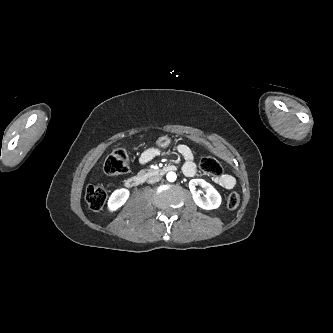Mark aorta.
<instances>
[{
    "instance_id": "aorta-1",
    "label": "aorta",
    "mask_w": 333,
    "mask_h": 333,
    "mask_svg": "<svg viewBox=\"0 0 333 333\" xmlns=\"http://www.w3.org/2000/svg\"><path fill=\"white\" fill-rule=\"evenodd\" d=\"M166 178L169 182H174V181H176L177 175L175 172H169V173H167Z\"/></svg>"
}]
</instances>
